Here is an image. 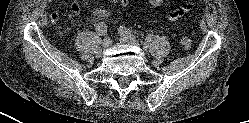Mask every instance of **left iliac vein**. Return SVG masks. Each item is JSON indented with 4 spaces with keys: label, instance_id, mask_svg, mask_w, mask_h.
Segmentation results:
<instances>
[{
    "label": "left iliac vein",
    "instance_id": "left-iliac-vein-1",
    "mask_svg": "<svg viewBox=\"0 0 249 123\" xmlns=\"http://www.w3.org/2000/svg\"><path fill=\"white\" fill-rule=\"evenodd\" d=\"M120 37H121V41L124 42V43H129V44H132V45H135V46H139L138 41L133 37H129V36L124 35L122 33H120Z\"/></svg>",
    "mask_w": 249,
    "mask_h": 123
}]
</instances>
